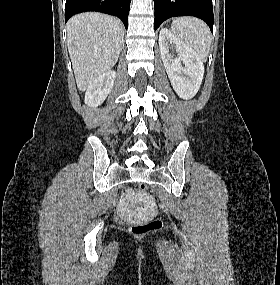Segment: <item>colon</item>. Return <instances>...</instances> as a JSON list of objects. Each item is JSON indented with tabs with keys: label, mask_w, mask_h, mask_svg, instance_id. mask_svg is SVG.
I'll return each mask as SVG.
<instances>
[{
	"label": "colon",
	"mask_w": 280,
	"mask_h": 285,
	"mask_svg": "<svg viewBox=\"0 0 280 285\" xmlns=\"http://www.w3.org/2000/svg\"><path fill=\"white\" fill-rule=\"evenodd\" d=\"M137 190L140 192H146L148 190V186L144 183L138 184ZM161 225V220L155 218L145 223L136 224L132 226L130 232L134 236L141 237L149 233L155 232L161 227Z\"/></svg>",
	"instance_id": "obj_1"
}]
</instances>
